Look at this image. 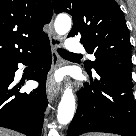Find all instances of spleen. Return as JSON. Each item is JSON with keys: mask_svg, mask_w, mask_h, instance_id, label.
Wrapping results in <instances>:
<instances>
[{"mask_svg": "<svg viewBox=\"0 0 136 136\" xmlns=\"http://www.w3.org/2000/svg\"><path fill=\"white\" fill-rule=\"evenodd\" d=\"M89 136H110V135L94 134V135H89Z\"/></svg>", "mask_w": 136, "mask_h": 136, "instance_id": "1", "label": "spleen"}]
</instances>
